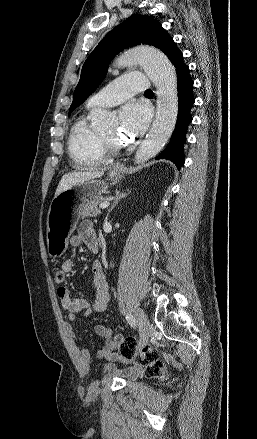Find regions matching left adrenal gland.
Listing matches in <instances>:
<instances>
[{"label": "left adrenal gland", "mask_w": 257, "mask_h": 439, "mask_svg": "<svg viewBox=\"0 0 257 439\" xmlns=\"http://www.w3.org/2000/svg\"><path fill=\"white\" fill-rule=\"evenodd\" d=\"M129 193H121L120 191H116L115 193V200L113 202V204L111 205L110 209L108 210L107 215L110 214V212L113 210V208L118 204V202L122 199L125 198Z\"/></svg>", "instance_id": "1"}]
</instances>
